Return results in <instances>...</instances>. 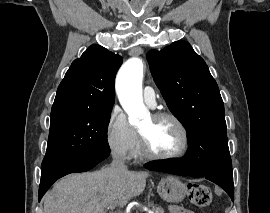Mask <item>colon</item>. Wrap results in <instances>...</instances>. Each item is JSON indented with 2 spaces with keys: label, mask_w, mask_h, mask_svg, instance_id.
Masks as SVG:
<instances>
[{
  "label": "colon",
  "mask_w": 270,
  "mask_h": 213,
  "mask_svg": "<svg viewBox=\"0 0 270 213\" xmlns=\"http://www.w3.org/2000/svg\"><path fill=\"white\" fill-rule=\"evenodd\" d=\"M189 201L195 207H207L212 201L210 189L202 184L190 183L187 188Z\"/></svg>",
  "instance_id": "5ec220e1"
}]
</instances>
